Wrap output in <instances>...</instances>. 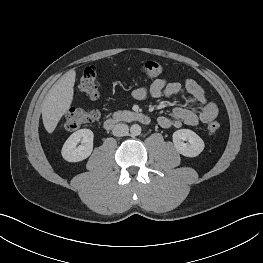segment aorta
Here are the masks:
<instances>
[{
    "mask_svg": "<svg viewBox=\"0 0 263 263\" xmlns=\"http://www.w3.org/2000/svg\"><path fill=\"white\" fill-rule=\"evenodd\" d=\"M130 133L132 136H138L141 134V127L140 125L138 124H133L131 127H130Z\"/></svg>",
    "mask_w": 263,
    "mask_h": 263,
    "instance_id": "1",
    "label": "aorta"
}]
</instances>
